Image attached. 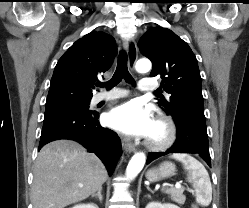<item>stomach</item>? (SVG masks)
Segmentation results:
<instances>
[{
	"label": "stomach",
	"instance_id": "0dacf381",
	"mask_svg": "<svg viewBox=\"0 0 249 208\" xmlns=\"http://www.w3.org/2000/svg\"><path fill=\"white\" fill-rule=\"evenodd\" d=\"M175 171V165L166 161L160 164L159 167L149 169L146 173V179L150 182H158L162 179L173 176Z\"/></svg>",
	"mask_w": 249,
	"mask_h": 208
}]
</instances>
